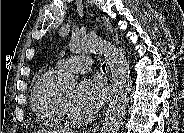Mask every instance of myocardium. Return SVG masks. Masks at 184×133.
Listing matches in <instances>:
<instances>
[{"label": "myocardium", "mask_w": 184, "mask_h": 133, "mask_svg": "<svg viewBox=\"0 0 184 133\" xmlns=\"http://www.w3.org/2000/svg\"><path fill=\"white\" fill-rule=\"evenodd\" d=\"M60 97H61V103H62L64 110L66 112H69L70 114H74L73 109H72V105L63 97L62 93H61Z\"/></svg>", "instance_id": "obj_1"}]
</instances>
